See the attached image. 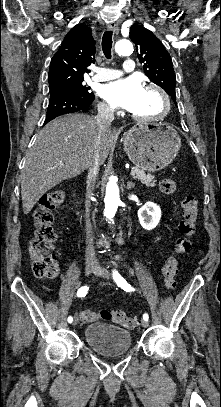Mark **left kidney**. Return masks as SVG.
Returning <instances> with one entry per match:
<instances>
[{
    "instance_id": "5707ae66",
    "label": "left kidney",
    "mask_w": 221,
    "mask_h": 407,
    "mask_svg": "<svg viewBox=\"0 0 221 407\" xmlns=\"http://www.w3.org/2000/svg\"><path fill=\"white\" fill-rule=\"evenodd\" d=\"M161 215L160 207L153 202H147L138 210L139 222L146 230H153L160 222Z\"/></svg>"
}]
</instances>
